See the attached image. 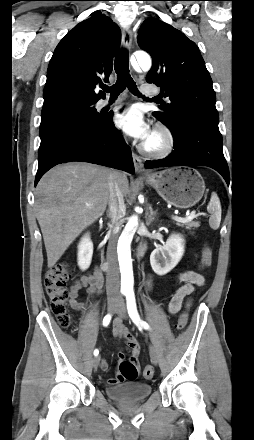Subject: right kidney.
<instances>
[{
	"mask_svg": "<svg viewBox=\"0 0 254 440\" xmlns=\"http://www.w3.org/2000/svg\"><path fill=\"white\" fill-rule=\"evenodd\" d=\"M93 255V243L87 233L80 241L78 246V265L80 269L86 270L89 268Z\"/></svg>",
	"mask_w": 254,
	"mask_h": 440,
	"instance_id": "ca27d5eb",
	"label": "right kidney"
}]
</instances>
